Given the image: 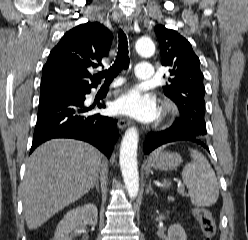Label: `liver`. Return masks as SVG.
I'll return each instance as SVG.
<instances>
[{"label": "liver", "instance_id": "6515ba94", "mask_svg": "<svg viewBox=\"0 0 248 240\" xmlns=\"http://www.w3.org/2000/svg\"><path fill=\"white\" fill-rule=\"evenodd\" d=\"M102 155L77 140L53 139L39 146L26 163L22 186L25 221L37 229L94 187Z\"/></svg>", "mask_w": 248, "mask_h": 240}]
</instances>
